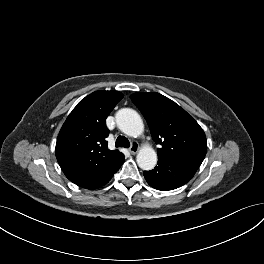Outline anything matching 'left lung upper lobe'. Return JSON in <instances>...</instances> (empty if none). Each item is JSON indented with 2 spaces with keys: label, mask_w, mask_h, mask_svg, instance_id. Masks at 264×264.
Listing matches in <instances>:
<instances>
[{
  "label": "left lung upper lobe",
  "mask_w": 264,
  "mask_h": 264,
  "mask_svg": "<svg viewBox=\"0 0 264 264\" xmlns=\"http://www.w3.org/2000/svg\"><path fill=\"white\" fill-rule=\"evenodd\" d=\"M134 104L144 115L153 140L160 145L158 158L188 164L198 169L207 151L200 125L169 98L156 93H134Z\"/></svg>",
  "instance_id": "obj_1"
}]
</instances>
